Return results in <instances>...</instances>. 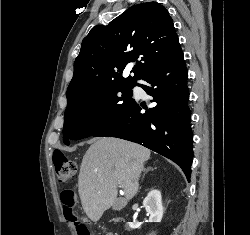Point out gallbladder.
I'll list each match as a JSON object with an SVG mask.
<instances>
[{
    "label": "gallbladder",
    "instance_id": "obj_1",
    "mask_svg": "<svg viewBox=\"0 0 250 235\" xmlns=\"http://www.w3.org/2000/svg\"><path fill=\"white\" fill-rule=\"evenodd\" d=\"M114 210H119L122 208L120 202H115L114 205L112 206Z\"/></svg>",
    "mask_w": 250,
    "mask_h": 235
}]
</instances>
